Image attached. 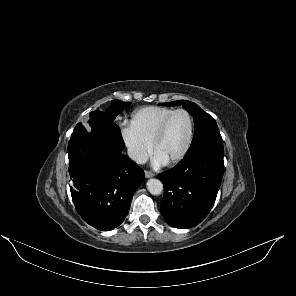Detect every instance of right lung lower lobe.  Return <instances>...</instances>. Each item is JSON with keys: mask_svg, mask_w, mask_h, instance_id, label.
Returning a JSON list of instances; mask_svg holds the SVG:
<instances>
[{"mask_svg": "<svg viewBox=\"0 0 296 296\" xmlns=\"http://www.w3.org/2000/svg\"><path fill=\"white\" fill-rule=\"evenodd\" d=\"M89 124L90 133L78 123L68 142L71 195L86 223L109 231L124 221L144 171L122 154L125 145L116 124Z\"/></svg>", "mask_w": 296, "mask_h": 296, "instance_id": "obj_1", "label": "right lung lower lobe"}]
</instances>
